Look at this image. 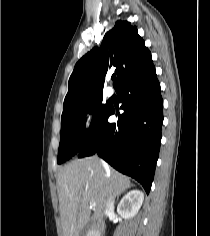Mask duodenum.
I'll return each instance as SVG.
<instances>
[{
	"instance_id": "410a0bca",
	"label": "duodenum",
	"mask_w": 210,
	"mask_h": 236,
	"mask_svg": "<svg viewBox=\"0 0 210 236\" xmlns=\"http://www.w3.org/2000/svg\"><path fill=\"white\" fill-rule=\"evenodd\" d=\"M90 236H101L100 233H93Z\"/></svg>"
}]
</instances>
